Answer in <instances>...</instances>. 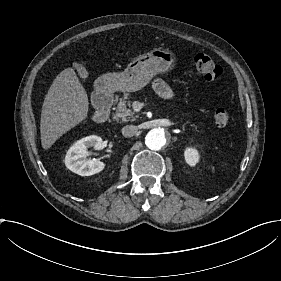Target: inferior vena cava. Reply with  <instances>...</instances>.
<instances>
[{
	"instance_id": "obj_1",
	"label": "inferior vena cava",
	"mask_w": 281,
	"mask_h": 281,
	"mask_svg": "<svg viewBox=\"0 0 281 281\" xmlns=\"http://www.w3.org/2000/svg\"><path fill=\"white\" fill-rule=\"evenodd\" d=\"M138 131V127L135 125H126L122 128V134L124 137H132Z\"/></svg>"
}]
</instances>
